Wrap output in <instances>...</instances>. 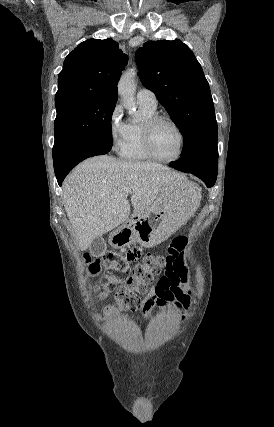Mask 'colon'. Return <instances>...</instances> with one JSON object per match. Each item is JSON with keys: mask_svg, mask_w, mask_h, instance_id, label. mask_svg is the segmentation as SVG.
I'll use <instances>...</instances> for the list:
<instances>
[{"mask_svg": "<svg viewBox=\"0 0 274 427\" xmlns=\"http://www.w3.org/2000/svg\"><path fill=\"white\" fill-rule=\"evenodd\" d=\"M164 254H146L143 257V263L136 266L131 275L126 280V285H122V280L127 272V260L134 258L136 251L127 254L108 252L101 258H95L93 264L101 266L103 263L106 275L99 282V288L104 293H115L117 298L114 304L106 308L107 313L125 307L129 310H135L138 305V295L146 291L147 284L153 279L154 275L164 271L167 267V252ZM181 255V254H179Z\"/></svg>", "mask_w": 274, "mask_h": 427, "instance_id": "colon-1", "label": "colon"}]
</instances>
